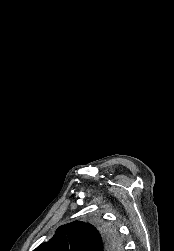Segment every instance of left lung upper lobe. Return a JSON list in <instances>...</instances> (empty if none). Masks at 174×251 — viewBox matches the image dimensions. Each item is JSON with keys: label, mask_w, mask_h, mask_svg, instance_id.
Segmentation results:
<instances>
[{"label": "left lung upper lobe", "mask_w": 174, "mask_h": 251, "mask_svg": "<svg viewBox=\"0 0 174 251\" xmlns=\"http://www.w3.org/2000/svg\"><path fill=\"white\" fill-rule=\"evenodd\" d=\"M121 240L115 230L75 221L60 226L56 234L34 251H119Z\"/></svg>", "instance_id": "left-lung-upper-lobe-1"}]
</instances>
